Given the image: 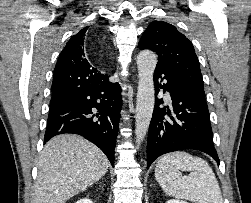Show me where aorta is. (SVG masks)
Instances as JSON below:
<instances>
[{
    "label": "aorta",
    "mask_w": 251,
    "mask_h": 203,
    "mask_svg": "<svg viewBox=\"0 0 251 203\" xmlns=\"http://www.w3.org/2000/svg\"><path fill=\"white\" fill-rule=\"evenodd\" d=\"M157 55L150 50H143L137 56L138 89L136 102L135 136L137 146L143 141L148 131L155 104L153 82Z\"/></svg>",
    "instance_id": "762f6f07"
}]
</instances>
